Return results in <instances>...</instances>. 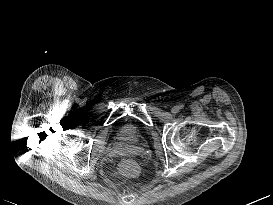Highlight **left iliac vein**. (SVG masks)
I'll use <instances>...</instances> for the list:
<instances>
[{
	"instance_id": "left-iliac-vein-1",
	"label": "left iliac vein",
	"mask_w": 273,
	"mask_h": 205,
	"mask_svg": "<svg viewBox=\"0 0 273 205\" xmlns=\"http://www.w3.org/2000/svg\"><path fill=\"white\" fill-rule=\"evenodd\" d=\"M171 112H172L173 114L178 113V112H179V107H178V106H174V107L171 109Z\"/></svg>"
}]
</instances>
